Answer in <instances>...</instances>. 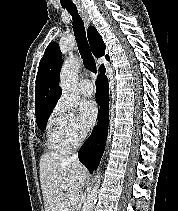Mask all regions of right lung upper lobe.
Segmentation results:
<instances>
[{
	"label": "right lung upper lobe",
	"mask_w": 178,
	"mask_h": 211,
	"mask_svg": "<svg viewBox=\"0 0 178 211\" xmlns=\"http://www.w3.org/2000/svg\"><path fill=\"white\" fill-rule=\"evenodd\" d=\"M88 40L95 57H102L105 54V44L97 30L90 26L88 28ZM109 61V56H105ZM62 54L59 45L55 42L49 44L42 57L36 76L35 89V114L55 106L61 96L59 87L60 69L62 66ZM101 73L105 67H100Z\"/></svg>",
	"instance_id": "right-lung-upper-lobe-1"
}]
</instances>
